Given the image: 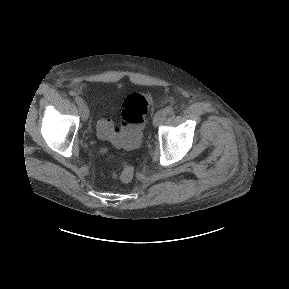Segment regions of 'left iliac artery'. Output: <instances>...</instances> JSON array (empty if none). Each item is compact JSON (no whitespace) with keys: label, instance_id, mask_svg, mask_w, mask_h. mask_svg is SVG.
Segmentation results:
<instances>
[{"label":"left iliac artery","instance_id":"left-iliac-artery-1","mask_svg":"<svg viewBox=\"0 0 289 289\" xmlns=\"http://www.w3.org/2000/svg\"><path fill=\"white\" fill-rule=\"evenodd\" d=\"M164 110L166 111L167 114H172L174 112L172 106H167V107H165Z\"/></svg>","mask_w":289,"mask_h":289}]
</instances>
